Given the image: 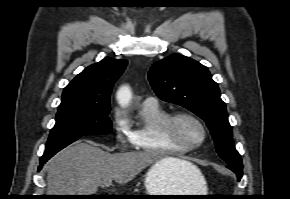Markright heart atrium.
Returning a JSON list of instances; mask_svg holds the SVG:
<instances>
[{
    "mask_svg": "<svg viewBox=\"0 0 290 199\" xmlns=\"http://www.w3.org/2000/svg\"><path fill=\"white\" fill-rule=\"evenodd\" d=\"M112 126L118 145L126 148L131 142V133L129 123L126 117L120 111H115L112 117Z\"/></svg>",
    "mask_w": 290,
    "mask_h": 199,
    "instance_id": "1",
    "label": "right heart atrium"
}]
</instances>
